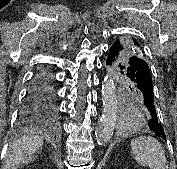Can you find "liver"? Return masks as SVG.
I'll list each match as a JSON object with an SVG mask.
<instances>
[{
	"mask_svg": "<svg viewBox=\"0 0 177 169\" xmlns=\"http://www.w3.org/2000/svg\"><path fill=\"white\" fill-rule=\"evenodd\" d=\"M42 145L43 137L39 136L36 130L17 139L10 146L5 169H18L22 164L31 162Z\"/></svg>",
	"mask_w": 177,
	"mask_h": 169,
	"instance_id": "6515ba94",
	"label": "liver"
}]
</instances>
